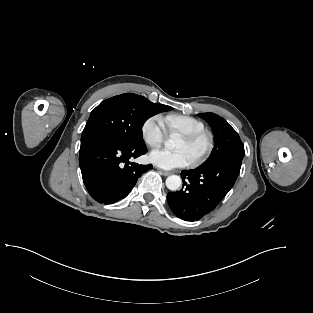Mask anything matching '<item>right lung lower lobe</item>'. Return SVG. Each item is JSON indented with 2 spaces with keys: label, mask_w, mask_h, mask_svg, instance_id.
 <instances>
[{
  "label": "right lung lower lobe",
  "mask_w": 313,
  "mask_h": 313,
  "mask_svg": "<svg viewBox=\"0 0 313 313\" xmlns=\"http://www.w3.org/2000/svg\"><path fill=\"white\" fill-rule=\"evenodd\" d=\"M146 152L145 143L130 144L108 134L81 140L79 165L89 194L103 204L125 198L138 178L153 167L131 162Z\"/></svg>",
  "instance_id": "1"
}]
</instances>
